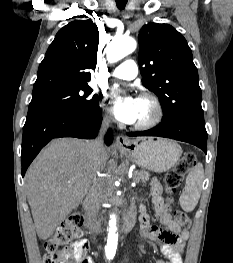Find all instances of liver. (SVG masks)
I'll return each mask as SVG.
<instances>
[{
  "label": "liver",
  "mask_w": 233,
  "mask_h": 263,
  "mask_svg": "<svg viewBox=\"0 0 233 263\" xmlns=\"http://www.w3.org/2000/svg\"><path fill=\"white\" fill-rule=\"evenodd\" d=\"M108 157L105 149L98 163L92 142L75 138L54 139L37 156L26 173L25 189L40 239H48L80 205Z\"/></svg>",
  "instance_id": "1"
}]
</instances>
